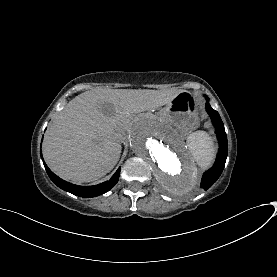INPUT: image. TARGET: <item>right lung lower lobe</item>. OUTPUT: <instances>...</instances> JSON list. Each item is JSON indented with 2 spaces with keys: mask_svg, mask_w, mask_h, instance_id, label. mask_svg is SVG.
I'll return each mask as SVG.
<instances>
[{
  "mask_svg": "<svg viewBox=\"0 0 277 277\" xmlns=\"http://www.w3.org/2000/svg\"><path fill=\"white\" fill-rule=\"evenodd\" d=\"M41 158L43 160L42 154H41ZM43 163L48 176L58 187L74 195H77L79 197H84V198H91V197H95L103 193H106L107 191H109L111 188L115 186L120 175V168H119L109 181H106L104 183H101L95 186H77L60 179L47 167L44 160H43Z\"/></svg>",
  "mask_w": 277,
  "mask_h": 277,
  "instance_id": "obj_1",
  "label": "right lung lower lobe"
}]
</instances>
